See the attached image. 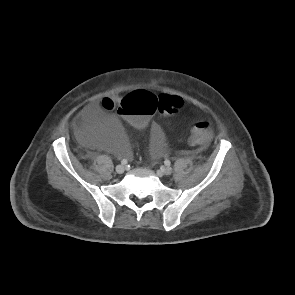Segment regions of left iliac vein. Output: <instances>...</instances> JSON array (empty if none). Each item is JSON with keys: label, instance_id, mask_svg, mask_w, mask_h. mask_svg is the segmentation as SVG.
Here are the masks:
<instances>
[{"label": "left iliac vein", "instance_id": "1", "mask_svg": "<svg viewBox=\"0 0 295 295\" xmlns=\"http://www.w3.org/2000/svg\"><path fill=\"white\" fill-rule=\"evenodd\" d=\"M172 172H173V169L171 167H169V166L163 168V170H162V173L164 175H170Z\"/></svg>", "mask_w": 295, "mask_h": 295}]
</instances>
